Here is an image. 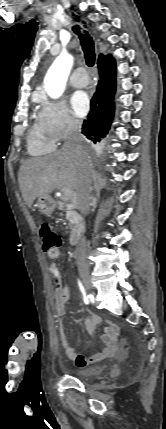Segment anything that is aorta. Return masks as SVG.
I'll return each mask as SVG.
<instances>
[{"instance_id":"762f6f07","label":"aorta","mask_w":166,"mask_h":429,"mask_svg":"<svg viewBox=\"0 0 166 429\" xmlns=\"http://www.w3.org/2000/svg\"><path fill=\"white\" fill-rule=\"evenodd\" d=\"M72 65L73 57L70 54L63 52L56 58L48 70V73L44 79V85L47 94L51 98L57 99L63 94L66 80Z\"/></svg>"}]
</instances>
